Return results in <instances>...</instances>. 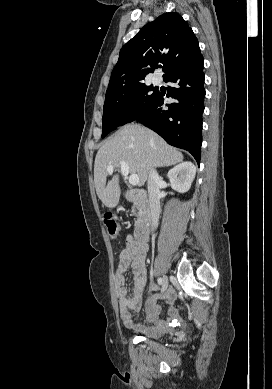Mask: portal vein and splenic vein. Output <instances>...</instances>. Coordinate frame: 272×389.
Returning a JSON list of instances; mask_svg holds the SVG:
<instances>
[{
    "label": "portal vein and splenic vein",
    "mask_w": 272,
    "mask_h": 389,
    "mask_svg": "<svg viewBox=\"0 0 272 389\" xmlns=\"http://www.w3.org/2000/svg\"><path fill=\"white\" fill-rule=\"evenodd\" d=\"M120 165H121V173H122V175H124V176H128V174H129V166H128V164L127 163H125V162H123V161H121L120 162ZM113 170H114V167L113 166H109L108 168H107V172L109 173V174H112L113 173ZM129 183L131 184V185H138V183H139V177H138V175L137 174H131L130 176H129Z\"/></svg>",
    "instance_id": "18ae733b"
}]
</instances>
